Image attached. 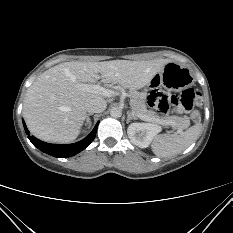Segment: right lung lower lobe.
Here are the masks:
<instances>
[{
    "label": "right lung lower lobe",
    "mask_w": 233,
    "mask_h": 233,
    "mask_svg": "<svg viewBox=\"0 0 233 233\" xmlns=\"http://www.w3.org/2000/svg\"><path fill=\"white\" fill-rule=\"evenodd\" d=\"M99 122L96 124L92 132L83 140L73 143V144H67V145H58V144H49L46 142H43L34 136L29 135V131L25 125V122L23 120V125L26 134L28 135L29 140L32 142L34 146H36L39 150L42 152H45L49 155H52L54 157L58 158H66L71 157L80 151L84 150L87 146L90 145V143L94 140L96 136V131L98 127Z\"/></svg>",
    "instance_id": "98d812e1"
}]
</instances>
